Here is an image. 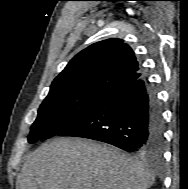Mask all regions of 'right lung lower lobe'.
<instances>
[{
    "mask_svg": "<svg viewBox=\"0 0 188 189\" xmlns=\"http://www.w3.org/2000/svg\"><path fill=\"white\" fill-rule=\"evenodd\" d=\"M163 132L156 93L142 76L107 94L58 136L93 139L125 151L145 154L161 151Z\"/></svg>",
    "mask_w": 188,
    "mask_h": 189,
    "instance_id": "right-lung-lower-lobe-1",
    "label": "right lung lower lobe"
}]
</instances>
